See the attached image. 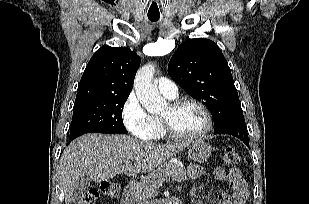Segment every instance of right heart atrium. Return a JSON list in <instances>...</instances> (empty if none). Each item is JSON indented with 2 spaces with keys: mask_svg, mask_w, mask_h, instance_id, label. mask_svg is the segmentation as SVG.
I'll use <instances>...</instances> for the list:
<instances>
[{
  "mask_svg": "<svg viewBox=\"0 0 309 204\" xmlns=\"http://www.w3.org/2000/svg\"><path fill=\"white\" fill-rule=\"evenodd\" d=\"M123 123L134 137L151 140L157 134V126L134 92L126 98L121 111Z\"/></svg>",
  "mask_w": 309,
  "mask_h": 204,
  "instance_id": "right-heart-atrium-1",
  "label": "right heart atrium"
}]
</instances>
